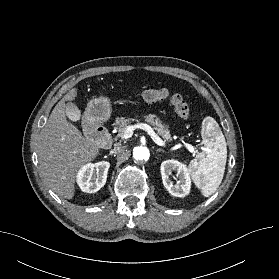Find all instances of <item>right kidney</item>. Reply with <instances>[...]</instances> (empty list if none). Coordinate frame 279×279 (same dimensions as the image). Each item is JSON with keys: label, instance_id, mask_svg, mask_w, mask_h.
Masks as SVG:
<instances>
[{"label": "right kidney", "instance_id": "obj_1", "mask_svg": "<svg viewBox=\"0 0 279 279\" xmlns=\"http://www.w3.org/2000/svg\"><path fill=\"white\" fill-rule=\"evenodd\" d=\"M110 163L101 161L84 165L77 173V184L86 193H96L106 183Z\"/></svg>", "mask_w": 279, "mask_h": 279}]
</instances>
